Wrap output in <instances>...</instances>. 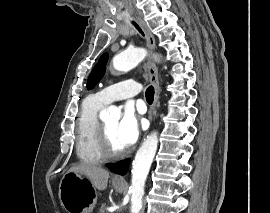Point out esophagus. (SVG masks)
Listing matches in <instances>:
<instances>
[{"label": "esophagus", "mask_w": 270, "mask_h": 213, "mask_svg": "<svg viewBox=\"0 0 270 213\" xmlns=\"http://www.w3.org/2000/svg\"><path fill=\"white\" fill-rule=\"evenodd\" d=\"M137 22L146 36V42H147L148 49L151 52L154 51L155 38H154L153 34L151 33L149 27L147 26V24L144 21H142L139 18H137ZM146 68L148 70L150 81L153 84L154 90H155L154 101H153V104L151 105V107L148 111L149 121L152 122L153 116L156 113V106H157L158 101H159L160 85H159V79H158V69H157L155 63L151 59L148 60V62L146 64ZM113 180L115 182L125 183V179L120 175L114 176Z\"/></svg>", "instance_id": "obj_1"}]
</instances>
